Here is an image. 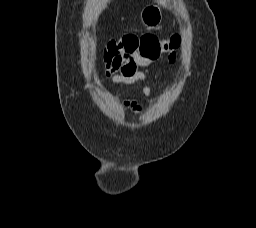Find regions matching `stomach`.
<instances>
[{
    "mask_svg": "<svg viewBox=\"0 0 256 228\" xmlns=\"http://www.w3.org/2000/svg\"><path fill=\"white\" fill-rule=\"evenodd\" d=\"M142 23L148 28H155L161 24L162 17L160 11L153 6H147L141 11Z\"/></svg>",
    "mask_w": 256,
    "mask_h": 228,
    "instance_id": "obj_1",
    "label": "stomach"
}]
</instances>
